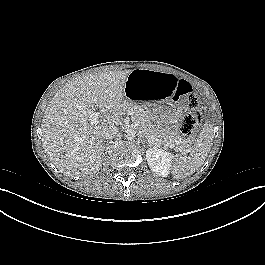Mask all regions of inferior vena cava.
Listing matches in <instances>:
<instances>
[{
	"instance_id": "602c4592",
	"label": "inferior vena cava",
	"mask_w": 265,
	"mask_h": 265,
	"mask_svg": "<svg viewBox=\"0 0 265 265\" xmlns=\"http://www.w3.org/2000/svg\"><path fill=\"white\" fill-rule=\"evenodd\" d=\"M118 133V128L114 125L105 126L101 130V137L103 139H113Z\"/></svg>"
}]
</instances>
